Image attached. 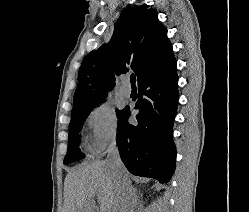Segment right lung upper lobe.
<instances>
[{
	"label": "right lung upper lobe",
	"instance_id": "1",
	"mask_svg": "<svg viewBox=\"0 0 249 212\" xmlns=\"http://www.w3.org/2000/svg\"><path fill=\"white\" fill-rule=\"evenodd\" d=\"M167 29L147 5L127 7L114 26L108 44L89 53L78 73L73 109L103 101L115 85V75L133 70L138 82L172 56Z\"/></svg>",
	"mask_w": 249,
	"mask_h": 212
}]
</instances>
